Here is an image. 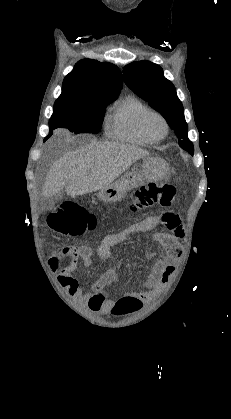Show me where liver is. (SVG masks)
<instances>
[{
    "mask_svg": "<svg viewBox=\"0 0 231 419\" xmlns=\"http://www.w3.org/2000/svg\"><path fill=\"white\" fill-rule=\"evenodd\" d=\"M149 152L116 142H92L66 153L50 168L43 196L52 197L65 188L75 197L101 190L114 182L137 160Z\"/></svg>",
    "mask_w": 231,
    "mask_h": 419,
    "instance_id": "liver-1",
    "label": "liver"
}]
</instances>
